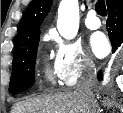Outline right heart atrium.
Here are the masks:
<instances>
[{"instance_id":"obj_1","label":"right heart atrium","mask_w":123,"mask_h":113,"mask_svg":"<svg viewBox=\"0 0 123 113\" xmlns=\"http://www.w3.org/2000/svg\"><path fill=\"white\" fill-rule=\"evenodd\" d=\"M54 45V75L61 85L73 86L83 74L93 71L94 62L79 43L56 37Z\"/></svg>"}]
</instances>
